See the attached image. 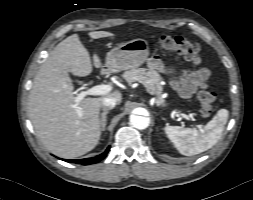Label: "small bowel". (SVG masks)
<instances>
[{"label":"small bowel","mask_w":253,"mask_h":200,"mask_svg":"<svg viewBox=\"0 0 253 200\" xmlns=\"http://www.w3.org/2000/svg\"><path fill=\"white\" fill-rule=\"evenodd\" d=\"M148 65L150 68L157 70H162L164 68L163 62L158 57L149 58ZM209 75L210 72L206 68L185 71L182 76V95L184 97L191 96L193 93H195L197 88L208 79Z\"/></svg>","instance_id":"1"}]
</instances>
